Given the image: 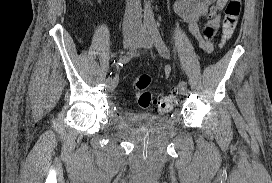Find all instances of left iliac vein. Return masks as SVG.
<instances>
[{"mask_svg": "<svg viewBox=\"0 0 272 183\" xmlns=\"http://www.w3.org/2000/svg\"><path fill=\"white\" fill-rule=\"evenodd\" d=\"M136 46L144 47V48H148V49H150L153 46L152 39L150 38V36L147 32L143 31V29L140 30V33L137 36ZM180 93L182 95H187V94H189V90L187 89V87L180 88Z\"/></svg>", "mask_w": 272, "mask_h": 183, "instance_id": "1", "label": "left iliac vein"}]
</instances>
